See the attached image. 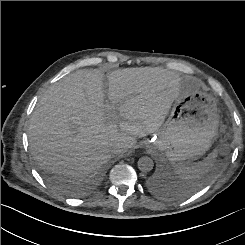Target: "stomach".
I'll use <instances>...</instances> for the list:
<instances>
[{
    "mask_svg": "<svg viewBox=\"0 0 245 245\" xmlns=\"http://www.w3.org/2000/svg\"><path fill=\"white\" fill-rule=\"evenodd\" d=\"M219 126L216 98L184 80L168 119L148 144L173 163L190 164L209 150Z\"/></svg>",
    "mask_w": 245,
    "mask_h": 245,
    "instance_id": "1",
    "label": "stomach"
}]
</instances>
